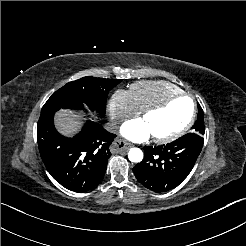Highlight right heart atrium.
Returning <instances> with one entry per match:
<instances>
[{"mask_svg": "<svg viewBox=\"0 0 246 246\" xmlns=\"http://www.w3.org/2000/svg\"><path fill=\"white\" fill-rule=\"evenodd\" d=\"M108 114L112 121H119L131 118L135 115L129 92L116 90L108 102Z\"/></svg>", "mask_w": 246, "mask_h": 246, "instance_id": "1", "label": "right heart atrium"}]
</instances>
